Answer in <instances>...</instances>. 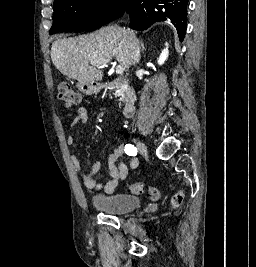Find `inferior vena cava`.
I'll use <instances>...</instances> for the list:
<instances>
[{"label":"inferior vena cava","instance_id":"1","mask_svg":"<svg viewBox=\"0 0 256 267\" xmlns=\"http://www.w3.org/2000/svg\"><path fill=\"white\" fill-rule=\"evenodd\" d=\"M116 28H119V26H116ZM119 30H121V28H119ZM123 32L124 34H127L126 30H123ZM139 60H140L139 42L138 40H135V42H133L131 46V62L133 66H135V64H138Z\"/></svg>","mask_w":256,"mask_h":267}]
</instances>
